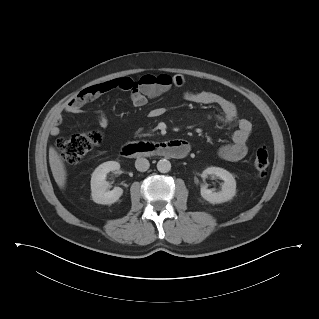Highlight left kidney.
Returning <instances> with one entry per match:
<instances>
[{"mask_svg": "<svg viewBox=\"0 0 319 319\" xmlns=\"http://www.w3.org/2000/svg\"><path fill=\"white\" fill-rule=\"evenodd\" d=\"M215 175L224 181L220 192H213L205 185L201 186V196L212 204H219L231 200L236 195V181L227 170L219 167H209L202 173V177Z\"/></svg>", "mask_w": 319, "mask_h": 319, "instance_id": "obj_1", "label": "left kidney"}]
</instances>
